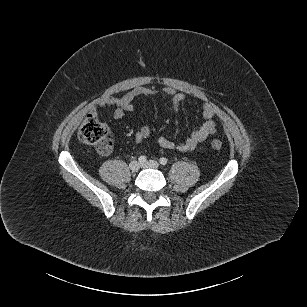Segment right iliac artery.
Masks as SVG:
<instances>
[{"mask_svg": "<svg viewBox=\"0 0 307 307\" xmlns=\"http://www.w3.org/2000/svg\"><path fill=\"white\" fill-rule=\"evenodd\" d=\"M146 160H147V158H146V156H144V155H142V156H140V157L138 158V161H139L140 163H144V162H146Z\"/></svg>", "mask_w": 307, "mask_h": 307, "instance_id": "right-iliac-artery-1", "label": "right iliac artery"}]
</instances>
